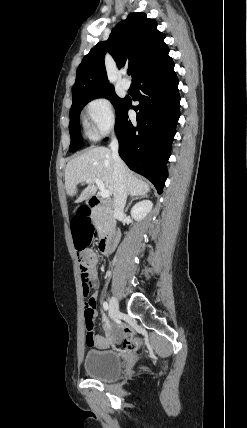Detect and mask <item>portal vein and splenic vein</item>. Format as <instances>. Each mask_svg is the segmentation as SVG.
<instances>
[{
    "instance_id": "18ae733b",
    "label": "portal vein and splenic vein",
    "mask_w": 247,
    "mask_h": 428,
    "mask_svg": "<svg viewBox=\"0 0 247 428\" xmlns=\"http://www.w3.org/2000/svg\"><path fill=\"white\" fill-rule=\"evenodd\" d=\"M87 182H95L100 190V195L103 198H107L110 196V192L105 188L103 182L98 178H87Z\"/></svg>"
}]
</instances>
